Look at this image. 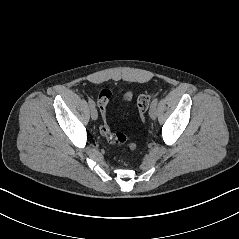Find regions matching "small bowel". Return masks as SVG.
<instances>
[{"label":"small bowel","mask_w":239,"mask_h":239,"mask_svg":"<svg viewBox=\"0 0 239 239\" xmlns=\"http://www.w3.org/2000/svg\"><path fill=\"white\" fill-rule=\"evenodd\" d=\"M121 95H122L123 99L127 102H130L133 97V94L131 91H122Z\"/></svg>","instance_id":"small-bowel-1"}]
</instances>
